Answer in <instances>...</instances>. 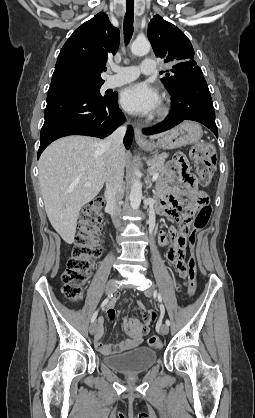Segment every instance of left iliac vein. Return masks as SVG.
Wrapping results in <instances>:
<instances>
[{
    "label": "left iliac vein",
    "mask_w": 255,
    "mask_h": 418,
    "mask_svg": "<svg viewBox=\"0 0 255 418\" xmlns=\"http://www.w3.org/2000/svg\"><path fill=\"white\" fill-rule=\"evenodd\" d=\"M144 294L148 297L152 296L154 294V288L153 287L148 288L147 290L144 291ZM161 332L165 335L168 334L169 326L167 324H163L161 326Z\"/></svg>",
    "instance_id": "obj_1"
}]
</instances>
